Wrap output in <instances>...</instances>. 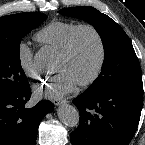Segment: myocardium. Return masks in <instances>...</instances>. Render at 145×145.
I'll return each mask as SVG.
<instances>
[{
  "instance_id": "myocardium-1",
  "label": "myocardium",
  "mask_w": 145,
  "mask_h": 145,
  "mask_svg": "<svg viewBox=\"0 0 145 145\" xmlns=\"http://www.w3.org/2000/svg\"><path fill=\"white\" fill-rule=\"evenodd\" d=\"M84 30L90 31L94 35L98 44L99 58L93 73L87 79L78 83L82 87L93 84L99 78L104 68L107 57L106 45L103 36L100 31L91 24H79L75 28V30L70 35L64 49L60 52V56H62L63 58H70L73 55L78 35Z\"/></svg>"
}]
</instances>
